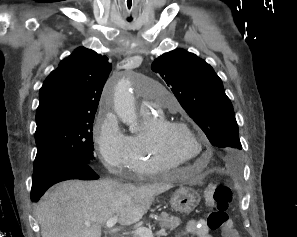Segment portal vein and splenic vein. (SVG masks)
Returning <instances> with one entry per match:
<instances>
[{"mask_svg":"<svg viewBox=\"0 0 297 237\" xmlns=\"http://www.w3.org/2000/svg\"><path fill=\"white\" fill-rule=\"evenodd\" d=\"M117 221H118V216H114V217L110 218L109 220H107L106 226L108 228H111L117 223ZM84 224L88 227L91 226L90 222H85ZM131 233L134 235H137L138 237H154V234L152 233V231L145 227H139L136 230L132 231ZM157 234L165 235L166 234L165 228L160 229L157 232Z\"/></svg>","mask_w":297,"mask_h":237,"instance_id":"portal-vein-and-splenic-vein-1","label":"portal vein and splenic vein"}]
</instances>
